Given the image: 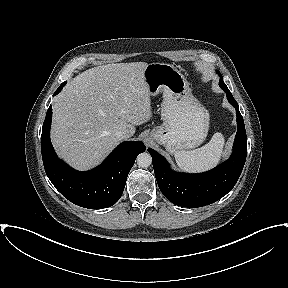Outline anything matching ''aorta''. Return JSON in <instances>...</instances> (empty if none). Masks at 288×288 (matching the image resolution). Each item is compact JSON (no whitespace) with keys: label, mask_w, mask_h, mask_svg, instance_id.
<instances>
[{"label":"aorta","mask_w":288,"mask_h":288,"mask_svg":"<svg viewBox=\"0 0 288 288\" xmlns=\"http://www.w3.org/2000/svg\"><path fill=\"white\" fill-rule=\"evenodd\" d=\"M136 160H137V165L141 168H147L152 163L151 155L147 152H143L139 154Z\"/></svg>","instance_id":"aorta-1"}]
</instances>
